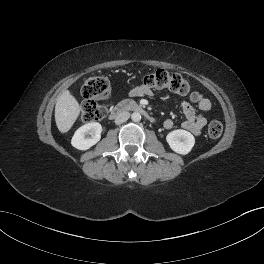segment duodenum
I'll return each instance as SVG.
<instances>
[{"instance_id": "1", "label": "duodenum", "mask_w": 264, "mask_h": 264, "mask_svg": "<svg viewBox=\"0 0 264 264\" xmlns=\"http://www.w3.org/2000/svg\"><path fill=\"white\" fill-rule=\"evenodd\" d=\"M133 111L138 112L148 119L153 120V118L147 113L144 107L132 100H124L117 104L109 113V119H115L124 112Z\"/></svg>"}]
</instances>
